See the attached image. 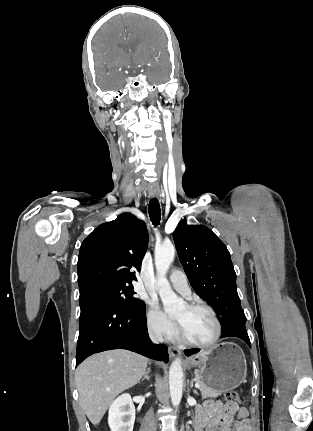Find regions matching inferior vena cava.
<instances>
[{"instance_id": "obj_1", "label": "inferior vena cava", "mask_w": 313, "mask_h": 431, "mask_svg": "<svg viewBox=\"0 0 313 431\" xmlns=\"http://www.w3.org/2000/svg\"><path fill=\"white\" fill-rule=\"evenodd\" d=\"M149 336L153 343L159 344L163 342L162 332L159 327H151L149 329Z\"/></svg>"}]
</instances>
